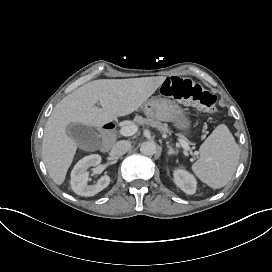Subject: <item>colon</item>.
<instances>
[{
	"instance_id": "obj_1",
	"label": "colon",
	"mask_w": 272,
	"mask_h": 272,
	"mask_svg": "<svg viewBox=\"0 0 272 272\" xmlns=\"http://www.w3.org/2000/svg\"><path fill=\"white\" fill-rule=\"evenodd\" d=\"M161 93L165 98L198 106L209 114L216 112V96L205 89L198 80L179 77L169 78L163 83Z\"/></svg>"
}]
</instances>
